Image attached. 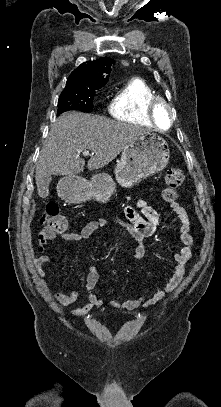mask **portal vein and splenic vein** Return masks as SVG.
Wrapping results in <instances>:
<instances>
[{
  "label": "portal vein and splenic vein",
  "instance_id": "obj_1",
  "mask_svg": "<svg viewBox=\"0 0 221 407\" xmlns=\"http://www.w3.org/2000/svg\"><path fill=\"white\" fill-rule=\"evenodd\" d=\"M89 154H90L89 150H84V151H83V155L86 156V155H89Z\"/></svg>",
  "mask_w": 221,
  "mask_h": 407
}]
</instances>
